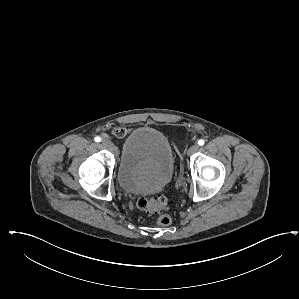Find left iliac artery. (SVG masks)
I'll return each mask as SVG.
<instances>
[{
	"instance_id": "44dca946",
	"label": "left iliac artery",
	"mask_w": 299,
	"mask_h": 299,
	"mask_svg": "<svg viewBox=\"0 0 299 299\" xmlns=\"http://www.w3.org/2000/svg\"><path fill=\"white\" fill-rule=\"evenodd\" d=\"M204 143H205V141H204L203 139H200V140L198 141V145H200V146L204 145Z\"/></svg>"
}]
</instances>
